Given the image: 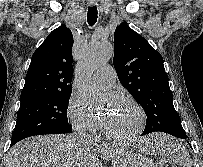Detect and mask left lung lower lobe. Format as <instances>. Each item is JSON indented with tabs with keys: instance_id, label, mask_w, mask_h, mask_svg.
<instances>
[{
	"instance_id": "left-lung-lower-lobe-1",
	"label": "left lung lower lobe",
	"mask_w": 203,
	"mask_h": 167,
	"mask_svg": "<svg viewBox=\"0 0 203 167\" xmlns=\"http://www.w3.org/2000/svg\"><path fill=\"white\" fill-rule=\"evenodd\" d=\"M142 135H145L142 133ZM172 135V134H171ZM173 136L177 137V138H180V139H184L186 140V136L183 134V133H179V134H174Z\"/></svg>"
}]
</instances>
